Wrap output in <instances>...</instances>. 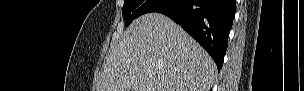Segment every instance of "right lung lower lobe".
<instances>
[{"label": "right lung lower lobe", "instance_id": "obj_1", "mask_svg": "<svg viewBox=\"0 0 304 91\" xmlns=\"http://www.w3.org/2000/svg\"><path fill=\"white\" fill-rule=\"evenodd\" d=\"M149 12L162 13L181 25L221 69L236 12L235 0H156Z\"/></svg>", "mask_w": 304, "mask_h": 91}]
</instances>
